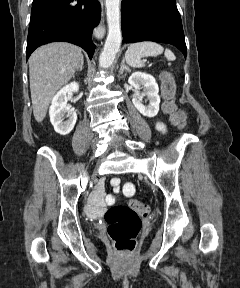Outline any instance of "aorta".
Segmentation results:
<instances>
[{"label":"aorta","mask_w":240,"mask_h":288,"mask_svg":"<svg viewBox=\"0 0 240 288\" xmlns=\"http://www.w3.org/2000/svg\"><path fill=\"white\" fill-rule=\"evenodd\" d=\"M120 3L121 0H105L108 34L103 51L99 57V66L103 69L109 68L112 65L120 49L122 41Z\"/></svg>","instance_id":"762f6f07"}]
</instances>
